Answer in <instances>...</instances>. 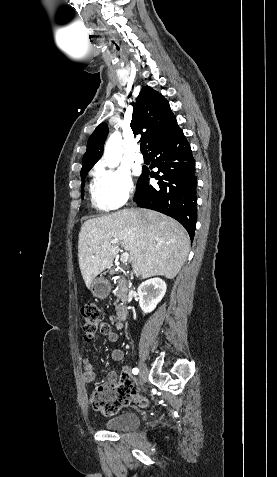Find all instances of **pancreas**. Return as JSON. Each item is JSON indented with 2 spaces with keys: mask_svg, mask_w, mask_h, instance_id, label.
Returning <instances> with one entry per match:
<instances>
[{
  "mask_svg": "<svg viewBox=\"0 0 277 477\" xmlns=\"http://www.w3.org/2000/svg\"><path fill=\"white\" fill-rule=\"evenodd\" d=\"M117 292L115 293V295L117 296V302L119 300H121L122 302H125L126 299H127V291H128V285H127V281L124 277H121L118 281H117ZM120 306L119 305H116V309H118Z\"/></svg>",
  "mask_w": 277,
  "mask_h": 477,
  "instance_id": "1",
  "label": "pancreas"
}]
</instances>
